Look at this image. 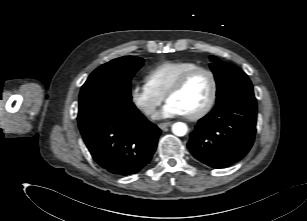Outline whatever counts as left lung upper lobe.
<instances>
[{
  "label": "left lung upper lobe",
  "instance_id": "obj_1",
  "mask_svg": "<svg viewBox=\"0 0 307 221\" xmlns=\"http://www.w3.org/2000/svg\"><path fill=\"white\" fill-rule=\"evenodd\" d=\"M211 70L217 84L215 108L238 97H254L253 87L247 75L238 67L211 56Z\"/></svg>",
  "mask_w": 307,
  "mask_h": 221
}]
</instances>
